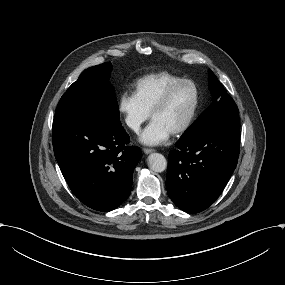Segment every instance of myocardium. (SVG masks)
<instances>
[{
  "instance_id": "f54148a6",
  "label": "myocardium",
  "mask_w": 285,
  "mask_h": 285,
  "mask_svg": "<svg viewBox=\"0 0 285 285\" xmlns=\"http://www.w3.org/2000/svg\"><path fill=\"white\" fill-rule=\"evenodd\" d=\"M183 83H189L194 87L196 98H195L194 106H193L188 118L179 127L175 128L172 131L174 134H179V133L185 132L191 126V124L193 123V121L195 120V118L197 116V113L199 111L200 104H201V90H200V87L197 84V82L194 81L193 79H190V78H182L179 81L171 84L164 91V93L161 95V97L159 98V100L157 101V103L154 105V107L151 110V116L153 117V115L158 110L162 109L163 107H165L168 104V102H169L173 92L175 91V89Z\"/></svg>"
}]
</instances>
